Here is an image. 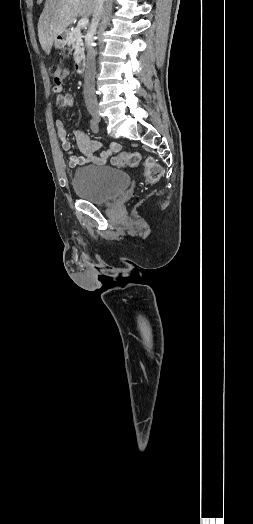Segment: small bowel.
I'll list each match as a JSON object with an SVG mask.
<instances>
[{
	"mask_svg": "<svg viewBox=\"0 0 253 524\" xmlns=\"http://www.w3.org/2000/svg\"><path fill=\"white\" fill-rule=\"evenodd\" d=\"M53 92L57 97V103L62 108L71 107L74 103V98L71 94L63 92L62 87L53 88ZM57 136L64 151L68 153L67 164L70 168L93 163L95 165H105L113 154L121 150V145L117 142H110L106 149L99 154L96 152L102 148L103 144L100 141L91 140L90 137L81 130L73 132L78 149L81 155L74 154L71 142L67 138V129L64 122L60 119L55 122Z\"/></svg>",
	"mask_w": 253,
	"mask_h": 524,
	"instance_id": "small-bowel-1",
	"label": "small bowel"
}]
</instances>
